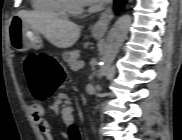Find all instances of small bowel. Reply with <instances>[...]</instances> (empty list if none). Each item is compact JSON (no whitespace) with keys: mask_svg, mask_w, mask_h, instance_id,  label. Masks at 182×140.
Masks as SVG:
<instances>
[{"mask_svg":"<svg viewBox=\"0 0 182 140\" xmlns=\"http://www.w3.org/2000/svg\"><path fill=\"white\" fill-rule=\"evenodd\" d=\"M30 112L38 130L45 137V140H54L51 125L45 116L44 107L39 103H33L30 106ZM67 122L70 123L71 120H67Z\"/></svg>","mask_w":182,"mask_h":140,"instance_id":"c3829d8e","label":"small bowel"}]
</instances>
